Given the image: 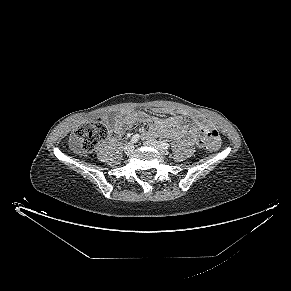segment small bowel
<instances>
[{"instance_id": "small-bowel-1", "label": "small bowel", "mask_w": 291, "mask_h": 291, "mask_svg": "<svg viewBox=\"0 0 291 291\" xmlns=\"http://www.w3.org/2000/svg\"><path fill=\"white\" fill-rule=\"evenodd\" d=\"M157 113H170L171 109L167 107L156 108ZM190 118L194 120L198 127L188 128L182 125V118L178 115L168 118H159L152 116L144 111L124 110L114 124V132L119 135L136 122H145L149 126V131L142 134L143 138L150 135H161L173 139L190 136L191 139L200 147L206 146L214 133H217L214 126L197 113H190Z\"/></svg>"}]
</instances>
